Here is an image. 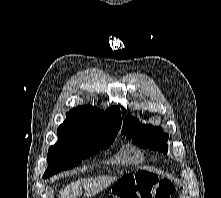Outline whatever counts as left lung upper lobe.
<instances>
[{
	"label": "left lung upper lobe",
	"instance_id": "left-lung-upper-lobe-1",
	"mask_svg": "<svg viewBox=\"0 0 221 198\" xmlns=\"http://www.w3.org/2000/svg\"><path fill=\"white\" fill-rule=\"evenodd\" d=\"M122 134L127 138H133V142L143 148L156 149L167 154L168 135L159 127L141 125L132 116H127L123 123Z\"/></svg>",
	"mask_w": 221,
	"mask_h": 198
}]
</instances>
